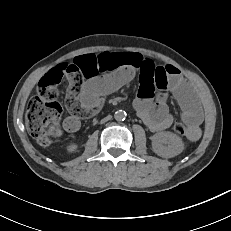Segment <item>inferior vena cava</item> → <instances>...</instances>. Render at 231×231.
<instances>
[{
  "mask_svg": "<svg viewBox=\"0 0 231 231\" xmlns=\"http://www.w3.org/2000/svg\"><path fill=\"white\" fill-rule=\"evenodd\" d=\"M111 118V116H107V117H105L104 119H103V121H107V120H109Z\"/></svg>",
  "mask_w": 231,
  "mask_h": 231,
  "instance_id": "1",
  "label": "inferior vena cava"
}]
</instances>
